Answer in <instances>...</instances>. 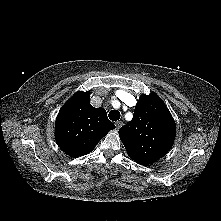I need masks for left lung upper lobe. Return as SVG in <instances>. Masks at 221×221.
Listing matches in <instances>:
<instances>
[{"label": "left lung upper lobe", "instance_id": "5c2ea615", "mask_svg": "<svg viewBox=\"0 0 221 221\" xmlns=\"http://www.w3.org/2000/svg\"><path fill=\"white\" fill-rule=\"evenodd\" d=\"M175 135L173 117L153 92L140 97L133 119L119 130L128 155L142 165L153 163L167 154Z\"/></svg>", "mask_w": 221, "mask_h": 221}]
</instances>
